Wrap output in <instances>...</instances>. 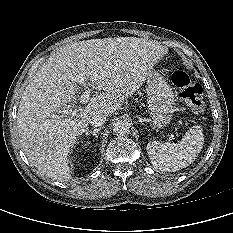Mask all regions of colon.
<instances>
[{"instance_id":"5ec220e1","label":"colon","mask_w":233,"mask_h":233,"mask_svg":"<svg viewBox=\"0 0 233 233\" xmlns=\"http://www.w3.org/2000/svg\"><path fill=\"white\" fill-rule=\"evenodd\" d=\"M172 82L182 100L193 112L199 113L204 110L202 88L199 84L193 82L186 72L182 70L175 71L172 74Z\"/></svg>"}]
</instances>
